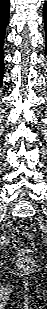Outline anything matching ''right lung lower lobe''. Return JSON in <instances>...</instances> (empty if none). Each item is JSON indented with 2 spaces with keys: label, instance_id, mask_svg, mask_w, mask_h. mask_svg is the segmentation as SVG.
Segmentation results:
<instances>
[{
  "label": "right lung lower lobe",
  "instance_id": "1",
  "mask_svg": "<svg viewBox=\"0 0 47 309\" xmlns=\"http://www.w3.org/2000/svg\"><path fill=\"white\" fill-rule=\"evenodd\" d=\"M9 0H0V84L3 79V42L5 37V28L9 18Z\"/></svg>",
  "mask_w": 47,
  "mask_h": 309
}]
</instances>
